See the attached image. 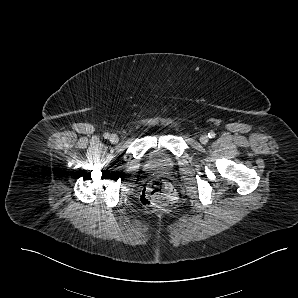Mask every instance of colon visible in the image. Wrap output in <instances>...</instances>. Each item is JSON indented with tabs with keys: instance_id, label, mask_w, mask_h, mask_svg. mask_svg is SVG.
Masks as SVG:
<instances>
[{
	"instance_id": "colon-1",
	"label": "colon",
	"mask_w": 298,
	"mask_h": 298,
	"mask_svg": "<svg viewBox=\"0 0 298 298\" xmlns=\"http://www.w3.org/2000/svg\"><path fill=\"white\" fill-rule=\"evenodd\" d=\"M140 200L143 205L153 208H166L175 201L172 185L164 179H154L143 189Z\"/></svg>"
}]
</instances>
